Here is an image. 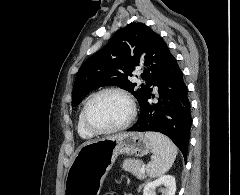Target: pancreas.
I'll return each mask as SVG.
<instances>
[{
  "label": "pancreas",
  "instance_id": "1",
  "mask_svg": "<svg viewBox=\"0 0 240 195\" xmlns=\"http://www.w3.org/2000/svg\"><path fill=\"white\" fill-rule=\"evenodd\" d=\"M122 167L125 169V171H131V173H134L138 179H145L147 175L145 173H141V159H130V157H127V159H124L122 161Z\"/></svg>",
  "mask_w": 240,
  "mask_h": 195
}]
</instances>
